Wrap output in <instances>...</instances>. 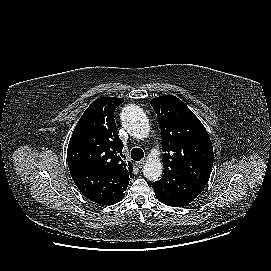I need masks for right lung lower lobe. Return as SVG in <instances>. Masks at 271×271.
<instances>
[{
  "label": "right lung lower lobe",
  "mask_w": 271,
  "mask_h": 271,
  "mask_svg": "<svg viewBox=\"0 0 271 271\" xmlns=\"http://www.w3.org/2000/svg\"><path fill=\"white\" fill-rule=\"evenodd\" d=\"M69 169L73 181L82 194L98 204L111 205L118 203L123 199L124 191L129 184L116 174L82 166Z\"/></svg>",
  "instance_id": "obj_1"
}]
</instances>
